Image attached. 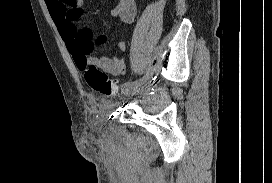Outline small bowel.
<instances>
[{
  "label": "small bowel",
  "instance_id": "small-bowel-1",
  "mask_svg": "<svg viewBox=\"0 0 272 183\" xmlns=\"http://www.w3.org/2000/svg\"><path fill=\"white\" fill-rule=\"evenodd\" d=\"M45 2L79 70L85 71L92 66L113 76L124 73L125 62L122 58L90 56L96 45L106 42L107 36L105 34L95 36L90 27L81 24L84 18L83 0H45ZM136 14L135 0H118L112 12L114 17L128 24L134 21ZM119 48L125 50L126 43L121 41Z\"/></svg>",
  "mask_w": 272,
  "mask_h": 183
}]
</instances>
